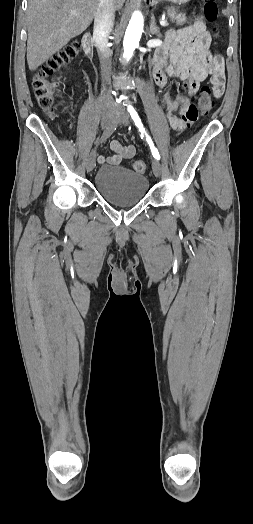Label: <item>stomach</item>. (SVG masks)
Here are the masks:
<instances>
[{
	"label": "stomach",
	"instance_id": "0dacf381",
	"mask_svg": "<svg viewBox=\"0 0 253 524\" xmlns=\"http://www.w3.org/2000/svg\"><path fill=\"white\" fill-rule=\"evenodd\" d=\"M148 1L150 2L151 5H156L160 0H148ZM167 1L172 2V3L182 4L190 0H167Z\"/></svg>",
	"mask_w": 253,
	"mask_h": 524
}]
</instances>
